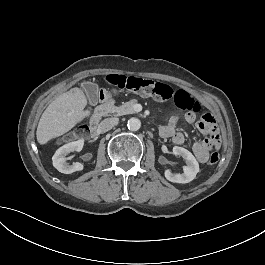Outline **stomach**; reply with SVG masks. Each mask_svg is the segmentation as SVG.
Wrapping results in <instances>:
<instances>
[{
	"label": "stomach",
	"mask_w": 265,
	"mask_h": 265,
	"mask_svg": "<svg viewBox=\"0 0 265 265\" xmlns=\"http://www.w3.org/2000/svg\"><path fill=\"white\" fill-rule=\"evenodd\" d=\"M109 94H111V95H113L114 97H116V98H118V97H120V92H118V91H116V90H114V89H109Z\"/></svg>",
	"instance_id": "stomach-1"
}]
</instances>
